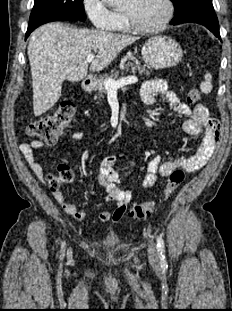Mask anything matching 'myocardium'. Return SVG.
Instances as JSON below:
<instances>
[{
	"mask_svg": "<svg viewBox=\"0 0 232 311\" xmlns=\"http://www.w3.org/2000/svg\"><path fill=\"white\" fill-rule=\"evenodd\" d=\"M166 5V13L164 17L153 26H142L135 22L131 13L123 9V15L128 27L138 33L148 34L162 30L172 19L174 14V5L172 0H164Z\"/></svg>",
	"mask_w": 232,
	"mask_h": 311,
	"instance_id": "obj_1",
	"label": "myocardium"
}]
</instances>
